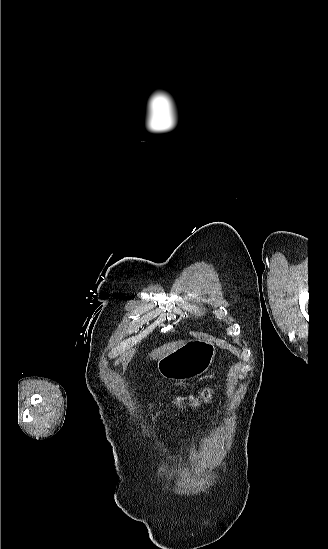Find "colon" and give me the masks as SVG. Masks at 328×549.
<instances>
[{
    "mask_svg": "<svg viewBox=\"0 0 328 549\" xmlns=\"http://www.w3.org/2000/svg\"><path fill=\"white\" fill-rule=\"evenodd\" d=\"M210 399H211V391H210V389L207 388V389L203 390L200 395H190L187 398L186 397H179V398H177V403L182 407L184 405V403L189 402V404L192 407L197 408L202 403L210 402Z\"/></svg>",
    "mask_w": 328,
    "mask_h": 549,
    "instance_id": "colon-1",
    "label": "colon"
}]
</instances>
